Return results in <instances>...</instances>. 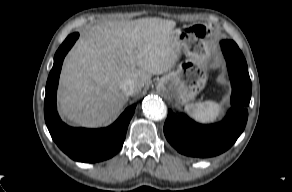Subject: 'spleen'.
<instances>
[{"mask_svg":"<svg viewBox=\"0 0 292 192\" xmlns=\"http://www.w3.org/2000/svg\"><path fill=\"white\" fill-rule=\"evenodd\" d=\"M184 109L192 118L198 122L213 121L221 113V106L214 101L187 104Z\"/></svg>","mask_w":292,"mask_h":192,"instance_id":"spleen-1","label":"spleen"}]
</instances>
